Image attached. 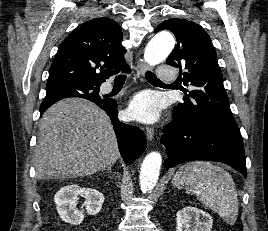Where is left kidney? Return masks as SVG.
Returning <instances> with one entry per match:
<instances>
[{"mask_svg": "<svg viewBox=\"0 0 268 231\" xmlns=\"http://www.w3.org/2000/svg\"><path fill=\"white\" fill-rule=\"evenodd\" d=\"M210 214L193 206H186L176 213V231H211Z\"/></svg>", "mask_w": 268, "mask_h": 231, "instance_id": "1", "label": "left kidney"}]
</instances>
